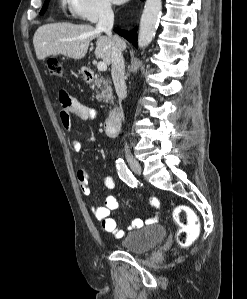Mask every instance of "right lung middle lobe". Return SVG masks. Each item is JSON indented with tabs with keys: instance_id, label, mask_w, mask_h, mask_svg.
<instances>
[{
	"instance_id": "right-lung-middle-lobe-1",
	"label": "right lung middle lobe",
	"mask_w": 247,
	"mask_h": 299,
	"mask_svg": "<svg viewBox=\"0 0 247 299\" xmlns=\"http://www.w3.org/2000/svg\"><path fill=\"white\" fill-rule=\"evenodd\" d=\"M49 1H50V0H45L44 6H43V8H42L40 14H43V13L46 11V9H47V7H48V3H49Z\"/></svg>"
}]
</instances>
